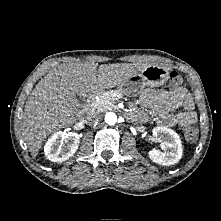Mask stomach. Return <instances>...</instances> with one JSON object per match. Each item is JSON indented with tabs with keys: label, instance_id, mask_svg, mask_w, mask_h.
Segmentation results:
<instances>
[{
	"label": "stomach",
	"instance_id": "stomach-1",
	"mask_svg": "<svg viewBox=\"0 0 221 221\" xmlns=\"http://www.w3.org/2000/svg\"><path fill=\"white\" fill-rule=\"evenodd\" d=\"M168 78L169 69L167 67L151 64L144 67L140 74L133 76L127 82L120 85V87L124 93L130 95L140 93L145 86L151 88L161 86Z\"/></svg>",
	"mask_w": 221,
	"mask_h": 221
}]
</instances>
